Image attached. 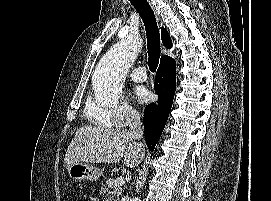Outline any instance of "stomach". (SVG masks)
<instances>
[{
	"instance_id": "obj_1",
	"label": "stomach",
	"mask_w": 271,
	"mask_h": 201,
	"mask_svg": "<svg viewBox=\"0 0 271 201\" xmlns=\"http://www.w3.org/2000/svg\"><path fill=\"white\" fill-rule=\"evenodd\" d=\"M68 175L73 181H97L103 171L93 165L86 163H75L68 168Z\"/></svg>"
}]
</instances>
